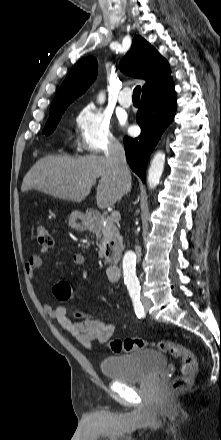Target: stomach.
<instances>
[{
  "mask_svg": "<svg viewBox=\"0 0 221 440\" xmlns=\"http://www.w3.org/2000/svg\"><path fill=\"white\" fill-rule=\"evenodd\" d=\"M69 225L75 230L83 231L92 225V220L79 211H73L69 216Z\"/></svg>",
  "mask_w": 221,
  "mask_h": 440,
  "instance_id": "stomach-1",
  "label": "stomach"
}]
</instances>
